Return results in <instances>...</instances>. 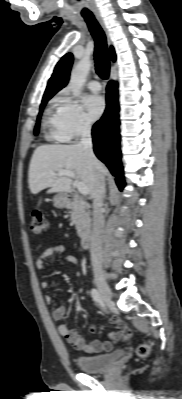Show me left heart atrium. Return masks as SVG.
<instances>
[{
    "label": "left heart atrium",
    "instance_id": "39dd6f15",
    "mask_svg": "<svg viewBox=\"0 0 182 399\" xmlns=\"http://www.w3.org/2000/svg\"><path fill=\"white\" fill-rule=\"evenodd\" d=\"M85 106L91 120L101 117L105 109L104 99L100 95H89L85 99Z\"/></svg>",
    "mask_w": 182,
    "mask_h": 399
}]
</instances>
